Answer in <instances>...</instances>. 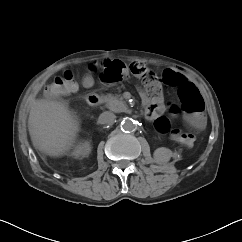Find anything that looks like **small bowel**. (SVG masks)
<instances>
[{
  "mask_svg": "<svg viewBox=\"0 0 242 242\" xmlns=\"http://www.w3.org/2000/svg\"><path fill=\"white\" fill-rule=\"evenodd\" d=\"M117 62L125 70V68H126L125 65L120 61H117ZM137 64H141V63H137ZM166 71L177 73L176 71H174L172 69H167ZM92 84H93V80L90 77H86L83 80V85L86 87H89ZM162 108H163L162 103L160 101H157L155 104H153L151 106V108L149 110H147V116H151L154 113L160 112L162 110ZM172 112L177 113L178 109L176 107H172ZM185 120H186V123L189 125V127H191L192 129L200 130L203 127L204 120H203V116L201 114L197 113V114L188 115V116H186ZM178 141L181 142L183 145L189 147L193 143V135L191 133H183L179 137Z\"/></svg>",
  "mask_w": 242,
  "mask_h": 242,
  "instance_id": "c3829d8e",
  "label": "small bowel"
}]
</instances>
